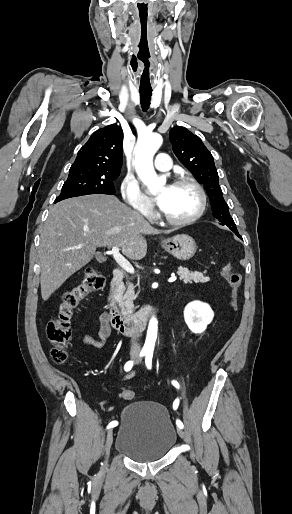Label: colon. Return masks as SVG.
Instances as JSON below:
<instances>
[{"label":"colon","instance_id":"obj_1","mask_svg":"<svg viewBox=\"0 0 292 514\" xmlns=\"http://www.w3.org/2000/svg\"><path fill=\"white\" fill-rule=\"evenodd\" d=\"M84 270V278L63 292L56 314L46 325L47 339L52 346L51 357L56 363H62L67 358V351L71 344V320L76 309L87 296L100 291L105 284L104 276L95 269L94 265H86ZM221 273L228 281L232 304L235 307L241 275L228 264L221 266ZM123 399L128 402L134 401V393L125 392Z\"/></svg>","mask_w":292,"mask_h":514}]
</instances>
